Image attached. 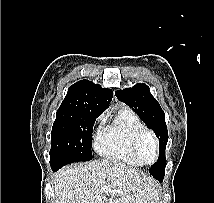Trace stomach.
<instances>
[{
  "instance_id": "obj_1",
  "label": "stomach",
  "mask_w": 214,
  "mask_h": 203,
  "mask_svg": "<svg viewBox=\"0 0 214 203\" xmlns=\"http://www.w3.org/2000/svg\"><path fill=\"white\" fill-rule=\"evenodd\" d=\"M149 203H161L158 196L152 199Z\"/></svg>"
}]
</instances>
